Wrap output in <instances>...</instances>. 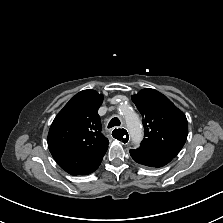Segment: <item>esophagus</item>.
<instances>
[{
    "mask_svg": "<svg viewBox=\"0 0 223 223\" xmlns=\"http://www.w3.org/2000/svg\"><path fill=\"white\" fill-rule=\"evenodd\" d=\"M112 133L113 139L118 140L124 145H127L129 143V131L125 127L113 128Z\"/></svg>",
    "mask_w": 223,
    "mask_h": 223,
    "instance_id": "esophagus-1",
    "label": "esophagus"
}]
</instances>
